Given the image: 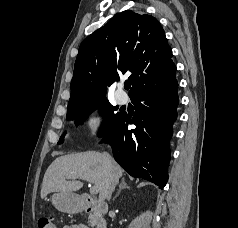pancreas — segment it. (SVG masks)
<instances>
[{
  "mask_svg": "<svg viewBox=\"0 0 238 228\" xmlns=\"http://www.w3.org/2000/svg\"><path fill=\"white\" fill-rule=\"evenodd\" d=\"M93 221H92V219H90V221H88V223H92Z\"/></svg>",
  "mask_w": 238,
  "mask_h": 228,
  "instance_id": "pancreas-1",
  "label": "pancreas"
}]
</instances>
